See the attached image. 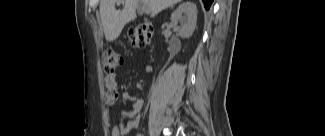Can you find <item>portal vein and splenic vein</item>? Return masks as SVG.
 I'll list each match as a JSON object with an SVG mask.
<instances>
[{
	"label": "portal vein and splenic vein",
	"mask_w": 325,
	"mask_h": 136,
	"mask_svg": "<svg viewBox=\"0 0 325 136\" xmlns=\"http://www.w3.org/2000/svg\"><path fill=\"white\" fill-rule=\"evenodd\" d=\"M142 11H143L145 14H149V12H150L149 8H148L146 5H144V4H143V6H142Z\"/></svg>",
	"instance_id": "obj_1"
}]
</instances>
